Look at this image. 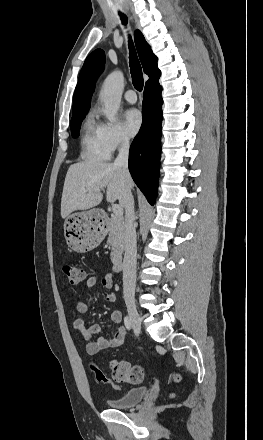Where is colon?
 Masks as SVG:
<instances>
[{"label": "colon", "instance_id": "obj_1", "mask_svg": "<svg viewBox=\"0 0 263 440\" xmlns=\"http://www.w3.org/2000/svg\"><path fill=\"white\" fill-rule=\"evenodd\" d=\"M63 272L73 287L79 286L85 279L86 273L83 268L67 264L63 267ZM112 379L115 382L140 383L143 381L145 372L139 365L123 360H113L110 363ZM98 382L113 386V382L101 371L95 370Z\"/></svg>", "mask_w": 263, "mask_h": 440}]
</instances>
